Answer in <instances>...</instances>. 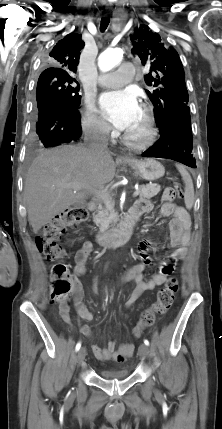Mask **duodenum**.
<instances>
[{
  "label": "duodenum",
  "mask_w": 222,
  "mask_h": 429,
  "mask_svg": "<svg viewBox=\"0 0 222 429\" xmlns=\"http://www.w3.org/2000/svg\"><path fill=\"white\" fill-rule=\"evenodd\" d=\"M88 210L90 212L96 211L97 203L94 201L90 202ZM139 217L140 214L137 211H131L122 219L118 228L109 233L98 234L96 237L98 244L105 248H113L125 244L131 237Z\"/></svg>",
  "instance_id": "obj_1"
}]
</instances>
